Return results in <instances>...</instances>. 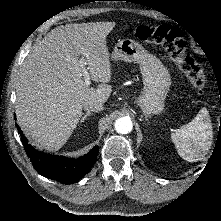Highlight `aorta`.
<instances>
[{
	"label": "aorta",
	"instance_id": "1",
	"mask_svg": "<svg viewBox=\"0 0 221 221\" xmlns=\"http://www.w3.org/2000/svg\"><path fill=\"white\" fill-rule=\"evenodd\" d=\"M132 128V121L128 117L119 118L115 122V130L120 134H128L131 132Z\"/></svg>",
	"mask_w": 221,
	"mask_h": 221
}]
</instances>
